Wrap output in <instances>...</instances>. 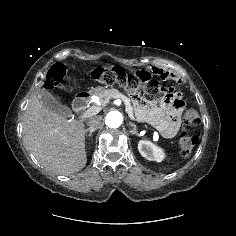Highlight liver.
I'll return each mask as SVG.
<instances>
[{"label":"liver","mask_w":236,"mask_h":236,"mask_svg":"<svg viewBox=\"0 0 236 236\" xmlns=\"http://www.w3.org/2000/svg\"><path fill=\"white\" fill-rule=\"evenodd\" d=\"M24 141L36 159L48 170L68 175L87 162L82 120H67L47 110L34 93L23 116Z\"/></svg>","instance_id":"liver-1"}]
</instances>
